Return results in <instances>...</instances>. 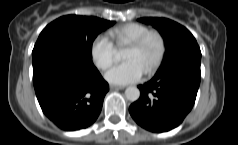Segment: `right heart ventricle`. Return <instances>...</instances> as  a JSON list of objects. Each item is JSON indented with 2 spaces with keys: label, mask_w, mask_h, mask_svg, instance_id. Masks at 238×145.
<instances>
[{
  "label": "right heart ventricle",
  "mask_w": 238,
  "mask_h": 145,
  "mask_svg": "<svg viewBox=\"0 0 238 145\" xmlns=\"http://www.w3.org/2000/svg\"><path fill=\"white\" fill-rule=\"evenodd\" d=\"M148 30V26L144 24L131 22L113 28L109 31V34L119 45L128 46Z\"/></svg>",
  "instance_id": "e07e8e85"
}]
</instances>
